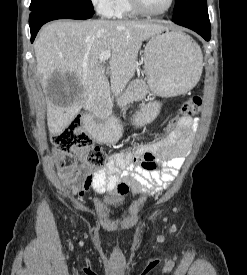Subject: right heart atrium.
I'll return each mask as SVG.
<instances>
[{"mask_svg": "<svg viewBox=\"0 0 247 275\" xmlns=\"http://www.w3.org/2000/svg\"><path fill=\"white\" fill-rule=\"evenodd\" d=\"M92 5L102 16L110 17L115 0H91Z\"/></svg>", "mask_w": 247, "mask_h": 275, "instance_id": "obj_1", "label": "right heart atrium"}]
</instances>
